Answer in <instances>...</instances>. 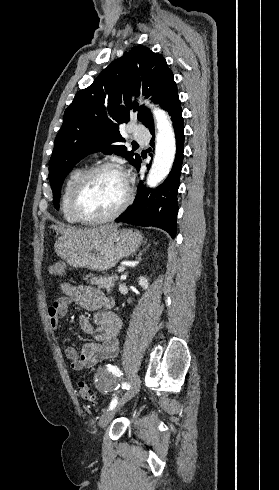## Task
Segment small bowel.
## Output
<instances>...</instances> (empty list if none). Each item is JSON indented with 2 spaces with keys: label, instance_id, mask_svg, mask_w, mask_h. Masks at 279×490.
Here are the masks:
<instances>
[{
  "label": "small bowel",
  "instance_id": "c3829d8e",
  "mask_svg": "<svg viewBox=\"0 0 279 490\" xmlns=\"http://www.w3.org/2000/svg\"><path fill=\"white\" fill-rule=\"evenodd\" d=\"M61 289L63 295L57 298L47 311L48 321L54 332L60 330L59 320L67 313L72 303L93 314L92 317L80 316L79 325L82 331L93 336L95 341L85 345L80 354L71 346L65 350L71 368L79 371L117 357L122 321L113 312L114 299L89 285L72 286L64 283Z\"/></svg>",
  "mask_w": 279,
  "mask_h": 490
}]
</instances>
